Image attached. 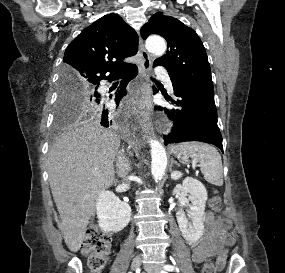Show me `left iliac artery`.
Segmentation results:
<instances>
[{"label":"left iliac artery","mask_w":285,"mask_h":273,"mask_svg":"<svg viewBox=\"0 0 285 273\" xmlns=\"http://www.w3.org/2000/svg\"><path fill=\"white\" fill-rule=\"evenodd\" d=\"M166 271H174L175 267L172 265H164L163 267ZM161 273H166L165 271H162Z\"/></svg>","instance_id":"obj_1"}]
</instances>
